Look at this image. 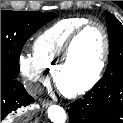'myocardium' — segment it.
I'll list each match as a JSON object with an SVG mask.
<instances>
[{"mask_svg": "<svg viewBox=\"0 0 123 123\" xmlns=\"http://www.w3.org/2000/svg\"><path fill=\"white\" fill-rule=\"evenodd\" d=\"M92 26L98 27L102 33V36H103V51H102V55H101V58L98 63V67H97L94 75L84 84L79 85L77 87H73V88L66 87L62 84L61 78H62V75L70 62L75 42L88 28H90ZM109 52H110V41H109V36H108L107 30L104 27V25L98 21L86 22L85 24L80 26L78 29H76L72 33V35L69 37V39L67 40V42L64 46L60 61L56 65V67L53 71V78H54L56 87L60 90V92L62 94H64L65 96H68V97H75V96H79V95H83V94L87 93L101 79L102 74L105 70L108 58H109Z\"/></svg>", "mask_w": 123, "mask_h": 123, "instance_id": "1", "label": "myocardium"}]
</instances>
